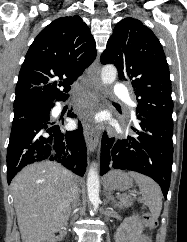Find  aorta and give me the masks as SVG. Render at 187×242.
<instances>
[{"label": "aorta", "mask_w": 187, "mask_h": 242, "mask_svg": "<svg viewBox=\"0 0 187 242\" xmlns=\"http://www.w3.org/2000/svg\"><path fill=\"white\" fill-rule=\"evenodd\" d=\"M117 76V70L113 65H105L101 71V81L103 85L112 84ZM99 173L96 165L93 163L89 169L87 176V191L88 198L93 206L94 210L98 208L99 205Z\"/></svg>", "instance_id": "1"}]
</instances>
